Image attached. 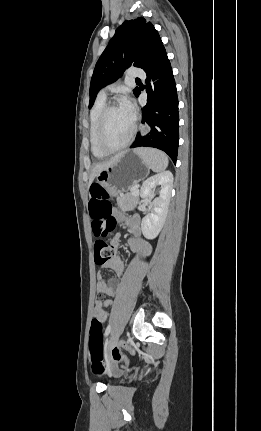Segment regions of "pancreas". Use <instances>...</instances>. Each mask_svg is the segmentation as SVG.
<instances>
[{
  "instance_id": "pancreas-1",
  "label": "pancreas",
  "mask_w": 261,
  "mask_h": 431,
  "mask_svg": "<svg viewBox=\"0 0 261 431\" xmlns=\"http://www.w3.org/2000/svg\"><path fill=\"white\" fill-rule=\"evenodd\" d=\"M117 205L122 211L133 210L139 201V196L133 195L132 192L126 194H120L116 198Z\"/></svg>"
}]
</instances>
